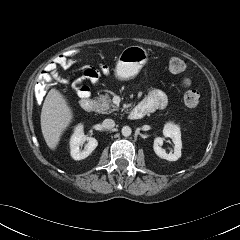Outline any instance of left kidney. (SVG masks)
Returning <instances> with one entry per match:
<instances>
[{
  "label": "left kidney",
  "instance_id": "1",
  "mask_svg": "<svg viewBox=\"0 0 240 240\" xmlns=\"http://www.w3.org/2000/svg\"><path fill=\"white\" fill-rule=\"evenodd\" d=\"M164 137H169L174 143V153H167L161 146L163 145V138L157 137L154 140L153 149L157 156L169 161H176L181 157L182 141L180 128L173 124L167 123L163 128Z\"/></svg>",
  "mask_w": 240,
  "mask_h": 240
}]
</instances>
